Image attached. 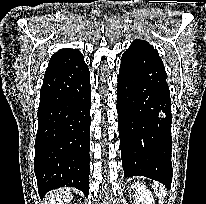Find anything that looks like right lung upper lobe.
I'll return each instance as SVG.
<instances>
[{
	"mask_svg": "<svg viewBox=\"0 0 206 204\" xmlns=\"http://www.w3.org/2000/svg\"><path fill=\"white\" fill-rule=\"evenodd\" d=\"M83 59L80 51L75 49H62L56 52L50 59L49 65L45 72V76L59 70L65 69L68 66L77 63Z\"/></svg>",
	"mask_w": 206,
	"mask_h": 204,
	"instance_id": "right-lung-upper-lobe-1",
	"label": "right lung upper lobe"
}]
</instances>
